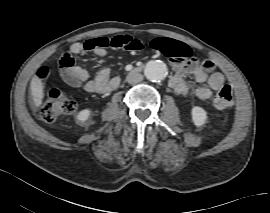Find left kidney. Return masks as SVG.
<instances>
[{"label":"left kidney","instance_id":"1","mask_svg":"<svg viewBox=\"0 0 270 213\" xmlns=\"http://www.w3.org/2000/svg\"><path fill=\"white\" fill-rule=\"evenodd\" d=\"M192 121L197 126H203L207 121V112L199 106H194L191 110Z\"/></svg>","mask_w":270,"mask_h":213}]
</instances>
